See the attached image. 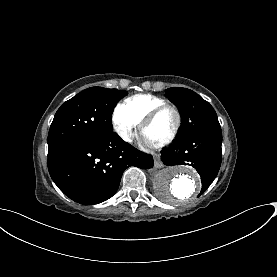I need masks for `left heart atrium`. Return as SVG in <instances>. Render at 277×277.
I'll return each instance as SVG.
<instances>
[{
	"mask_svg": "<svg viewBox=\"0 0 277 277\" xmlns=\"http://www.w3.org/2000/svg\"><path fill=\"white\" fill-rule=\"evenodd\" d=\"M141 141L145 145H149V146L154 145V143H152L145 135H142Z\"/></svg>",
	"mask_w": 277,
	"mask_h": 277,
	"instance_id": "obj_1",
	"label": "left heart atrium"
}]
</instances>
